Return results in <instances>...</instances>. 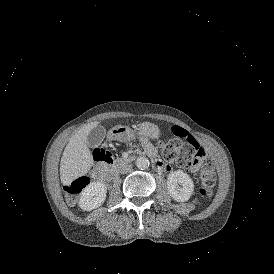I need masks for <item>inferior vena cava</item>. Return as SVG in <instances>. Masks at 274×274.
Listing matches in <instances>:
<instances>
[{
	"instance_id": "inferior-vena-cava-1",
	"label": "inferior vena cava",
	"mask_w": 274,
	"mask_h": 274,
	"mask_svg": "<svg viewBox=\"0 0 274 274\" xmlns=\"http://www.w3.org/2000/svg\"><path fill=\"white\" fill-rule=\"evenodd\" d=\"M132 170V166L130 164H124L120 167V172L122 173H128Z\"/></svg>"
}]
</instances>
